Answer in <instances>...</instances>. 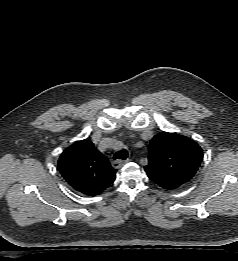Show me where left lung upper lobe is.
Returning <instances> with one entry per match:
<instances>
[{
  "label": "left lung upper lobe",
  "instance_id": "obj_1",
  "mask_svg": "<svg viewBox=\"0 0 238 261\" xmlns=\"http://www.w3.org/2000/svg\"><path fill=\"white\" fill-rule=\"evenodd\" d=\"M149 152V163L144 169L152 181L168 190L188 182L203 158L202 149L195 141L168 132L154 136Z\"/></svg>",
  "mask_w": 238,
  "mask_h": 261
}]
</instances>
